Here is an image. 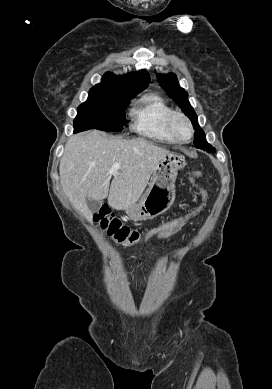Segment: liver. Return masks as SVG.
<instances>
[{
    "label": "liver",
    "mask_w": 272,
    "mask_h": 389,
    "mask_svg": "<svg viewBox=\"0 0 272 389\" xmlns=\"http://www.w3.org/2000/svg\"><path fill=\"white\" fill-rule=\"evenodd\" d=\"M167 149L136 138L107 137L89 131L69 138L60 160V183L74 208L91 221L86 199L103 200L116 210H125L143 194L151 174ZM119 163V174L110 184L109 169Z\"/></svg>",
    "instance_id": "6515ba94"
}]
</instances>
